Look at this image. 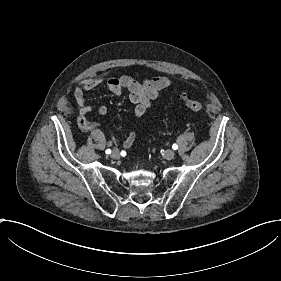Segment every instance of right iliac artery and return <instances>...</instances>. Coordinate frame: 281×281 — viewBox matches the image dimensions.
I'll return each mask as SVG.
<instances>
[{"label": "right iliac artery", "mask_w": 281, "mask_h": 281, "mask_svg": "<svg viewBox=\"0 0 281 281\" xmlns=\"http://www.w3.org/2000/svg\"><path fill=\"white\" fill-rule=\"evenodd\" d=\"M105 153H106V154H110V153H111V150H110V149H107V150L105 151Z\"/></svg>", "instance_id": "right-iliac-artery-1"}]
</instances>
